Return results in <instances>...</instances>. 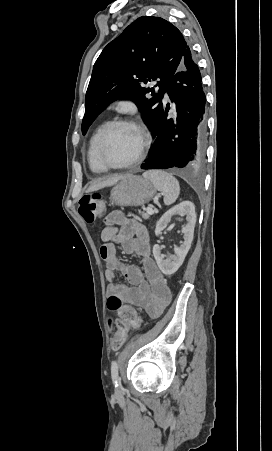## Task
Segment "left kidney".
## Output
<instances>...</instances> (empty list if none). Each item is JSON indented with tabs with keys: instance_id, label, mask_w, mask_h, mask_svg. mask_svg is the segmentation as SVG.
<instances>
[{
	"instance_id": "obj_1",
	"label": "left kidney",
	"mask_w": 272,
	"mask_h": 451,
	"mask_svg": "<svg viewBox=\"0 0 272 451\" xmlns=\"http://www.w3.org/2000/svg\"><path fill=\"white\" fill-rule=\"evenodd\" d=\"M173 216H186V226L182 227V233L184 241H182L180 247H175L174 255H170L168 259H164V255L161 253V247L159 243L153 245V255L157 261V265L165 275H172L177 271L178 267L182 265L192 243L194 227L196 224L195 206L192 202H181L178 206H174L168 212L163 214L159 222L156 224L155 233L160 235L162 229L168 226Z\"/></svg>"
}]
</instances>
